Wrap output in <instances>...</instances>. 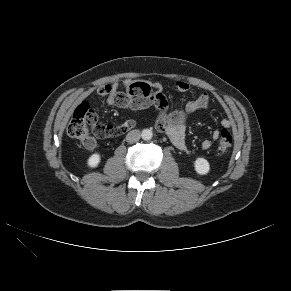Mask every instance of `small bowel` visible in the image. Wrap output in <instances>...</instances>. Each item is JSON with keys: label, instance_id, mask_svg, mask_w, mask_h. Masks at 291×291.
<instances>
[{"label": "small bowel", "instance_id": "small-bowel-1", "mask_svg": "<svg viewBox=\"0 0 291 291\" xmlns=\"http://www.w3.org/2000/svg\"><path fill=\"white\" fill-rule=\"evenodd\" d=\"M174 89L180 93H193L190 85L179 81ZM99 96L106 97V104L123 109L141 110L150 106H155L159 110V116L156 121V128L166 134L174 147L183 153H190L186 141L185 122L189 115L206 108L210 103V96L207 92L195 95L184 109L175 110L167 113V100L162 87L159 84L149 85L144 82L126 80L123 83L115 82L111 85H105L98 89ZM221 125L224 128L231 126L230 119H223ZM219 131H214L213 139H217ZM95 145L93 142L92 148ZM212 141L205 139L201 142V148L207 150L211 147Z\"/></svg>", "mask_w": 291, "mask_h": 291}]
</instances>
